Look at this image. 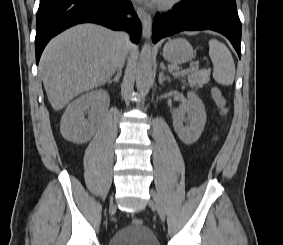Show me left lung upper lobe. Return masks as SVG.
I'll list each match as a JSON object with an SVG mask.
<instances>
[{"label": "left lung upper lobe", "instance_id": "5c2ea615", "mask_svg": "<svg viewBox=\"0 0 283 245\" xmlns=\"http://www.w3.org/2000/svg\"><path fill=\"white\" fill-rule=\"evenodd\" d=\"M188 2L192 3H202V2H220V3H226L229 5L236 6V0H186Z\"/></svg>", "mask_w": 283, "mask_h": 245}]
</instances>
